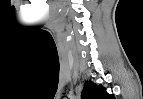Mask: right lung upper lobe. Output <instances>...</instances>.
I'll return each mask as SVG.
<instances>
[{
    "label": "right lung upper lobe",
    "instance_id": "cb5924a9",
    "mask_svg": "<svg viewBox=\"0 0 143 99\" xmlns=\"http://www.w3.org/2000/svg\"><path fill=\"white\" fill-rule=\"evenodd\" d=\"M113 95L108 94L102 85H97L92 81H87L81 93L82 99H113Z\"/></svg>",
    "mask_w": 143,
    "mask_h": 99
}]
</instances>
